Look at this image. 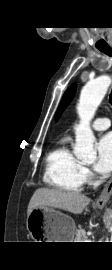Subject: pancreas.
Instances as JSON below:
<instances>
[{
    "label": "pancreas",
    "mask_w": 112,
    "mask_h": 270,
    "mask_svg": "<svg viewBox=\"0 0 112 270\" xmlns=\"http://www.w3.org/2000/svg\"><path fill=\"white\" fill-rule=\"evenodd\" d=\"M87 239V235L84 229L79 227L75 233V242H85Z\"/></svg>",
    "instance_id": "obj_1"
}]
</instances>
